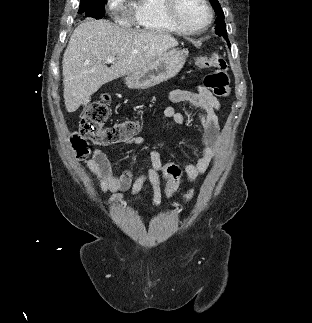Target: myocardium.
Segmentation results:
<instances>
[{
    "label": "myocardium",
    "mask_w": 312,
    "mask_h": 323,
    "mask_svg": "<svg viewBox=\"0 0 312 323\" xmlns=\"http://www.w3.org/2000/svg\"><path fill=\"white\" fill-rule=\"evenodd\" d=\"M197 8L202 14L201 20H187L181 18L176 10L179 9L178 0H165V9L163 13L167 17L170 25H179V31H206L207 25H210L212 17H214V10H210L209 4L206 0H194Z\"/></svg>",
    "instance_id": "obj_1"
}]
</instances>
